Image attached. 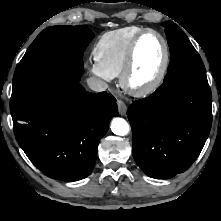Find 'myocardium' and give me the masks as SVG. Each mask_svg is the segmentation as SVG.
Masks as SVG:
<instances>
[{"label":"myocardium","instance_id":"1","mask_svg":"<svg viewBox=\"0 0 221 221\" xmlns=\"http://www.w3.org/2000/svg\"><path fill=\"white\" fill-rule=\"evenodd\" d=\"M147 34H154L160 39L164 50L163 61L156 77L149 84L143 87H134L130 83V76L134 67L136 48L139 41ZM169 62H170V49L165 37L155 29L145 28L132 39L128 47L125 62L122 71L120 73V83L128 93L134 96L144 97L150 95L154 91H156L162 84L166 72L168 70Z\"/></svg>","mask_w":221,"mask_h":221}]
</instances>
